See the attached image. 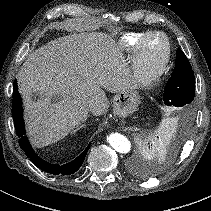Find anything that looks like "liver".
<instances>
[{
    "instance_id": "obj_1",
    "label": "liver",
    "mask_w": 211,
    "mask_h": 211,
    "mask_svg": "<svg viewBox=\"0 0 211 211\" xmlns=\"http://www.w3.org/2000/svg\"><path fill=\"white\" fill-rule=\"evenodd\" d=\"M17 80L27 133L37 148L63 139L84 122L90 102L93 115L104 114L109 100L103 89L118 93L135 88L122 49L101 32L50 41L28 55ZM36 92L40 97L33 100Z\"/></svg>"
}]
</instances>
